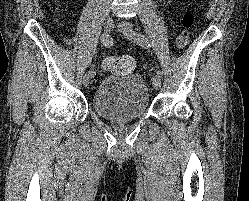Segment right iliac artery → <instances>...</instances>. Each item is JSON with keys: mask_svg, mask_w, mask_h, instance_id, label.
I'll return each instance as SVG.
<instances>
[{"mask_svg": "<svg viewBox=\"0 0 249 201\" xmlns=\"http://www.w3.org/2000/svg\"><path fill=\"white\" fill-rule=\"evenodd\" d=\"M101 43L105 46V47H110L112 45V41L111 38L109 37L108 34H102L101 37ZM90 74L91 77H94L96 72L94 70H89L88 72Z\"/></svg>", "mask_w": 249, "mask_h": 201, "instance_id": "right-iliac-artery-1", "label": "right iliac artery"}]
</instances>
